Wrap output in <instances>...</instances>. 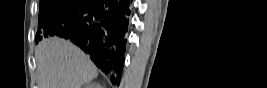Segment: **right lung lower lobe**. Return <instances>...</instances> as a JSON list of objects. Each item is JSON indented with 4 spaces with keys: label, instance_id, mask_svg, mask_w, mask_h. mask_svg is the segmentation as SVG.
<instances>
[{
    "label": "right lung lower lobe",
    "instance_id": "obj_1",
    "mask_svg": "<svg viewBox=\"0 0 267 88\" xmlns=\"http://www.w3.org/2000/svg\"><path fill=\"white\" fill-rule=\"evenodd\" d=\"M131 10V0H84L71 13L51 22L45 36L71 40L119 85Z\"/></svg>",
    "mask_w": 267,
    "mask_h": 88
}]
</instances>
